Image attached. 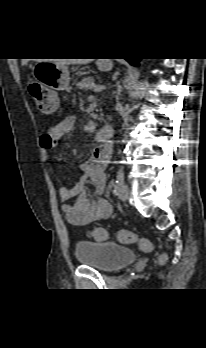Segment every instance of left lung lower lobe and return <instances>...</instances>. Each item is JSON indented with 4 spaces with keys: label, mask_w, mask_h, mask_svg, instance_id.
<instances>
[{
    "label": "left lung lower lobe",
    "mask_w": 206,
    "mask_h": 348,
    "mask_svg": "<svg viewBox=\"0 0 206 348\" xmlns=\"http://www.w3.org/2000/svg\"><path fill=\"white\" fill-rule=\"evenodd\" d=\"M130 64L137 66L139 59L129 58L126 59Z\"/></svg>",
    "instance_id": "obj_1"
}]
</instances>
